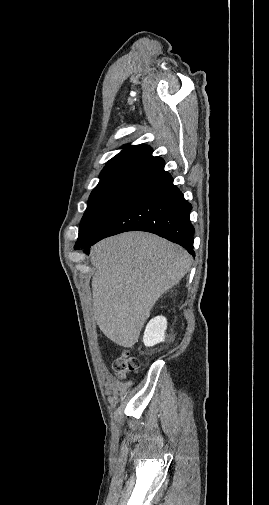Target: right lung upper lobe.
Listing matches in <instances>:
<instances>
[{
  "instance_id": "1",
  "label": "right lung upper lobe",
  "mask_w": 269,
  "mask_h": 505,
  "mask_svg": "<svg viewBox=\"0 0 269 505\" xmlns=\"http://www.w3.org/2000/svg\"><path fill=\"white\" fill-rule=\"evenodd\" d=\"M102 170L96 188L120 186L140 189L164 172L165 162L152 156L148 145H125Z\"/></svg>"
}]
</instances>
